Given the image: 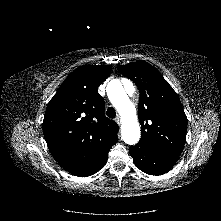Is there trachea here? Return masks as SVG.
Returning a JSON list of instances; mask_svg holds the SVG:
<instances>
[{"label":"trachea","instance_id":"1","mask_svg":"<svg viewBox=\"0 0 221 221\" xmlns=\"http://www.w3.org/2000/svg\"><path fill=\"white\" fill-rule=\"evenodd\" d=\"M106 114H107V116H108L109 118H115V117H116V111H115V109H114L113 107H109V108L107 109Z\"/></svg>","mask_w":221,"mask_h":221}]
</instances>
